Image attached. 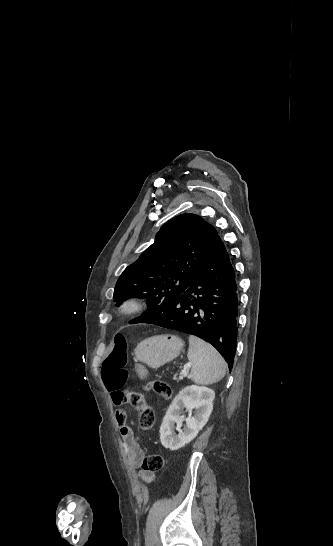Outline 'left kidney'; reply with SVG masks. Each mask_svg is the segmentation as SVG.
Returning <instances> with one entry per match:
<instances>
[{
	"mask_svg": "<svg viewBox=\"0 0 333 546\" xmlns=\"http://www.w3.org/2000/svg\"><path fill=\"white\" fill-rule=\"evenodd\" d=\"M215 392L207 387L189 385L183 388L169 406L160 427V440L165 448L172 451L192 441L205 426L213 410ZM184 409L194 415L185 418ZM183 421L186 426L181 429ZM175 424L178 435L175 434Z\"/></svg>",
	"mask_w": 333,
	"mask_h": 546,
	"instance_id": "1",
	"label": "left kidney"
}]
</instances>
